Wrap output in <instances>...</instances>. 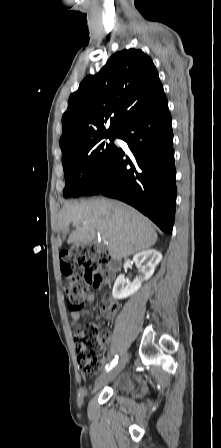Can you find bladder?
I'll use <instances>...</instances> for the list:
<instances>
[{"instance_id": "31cf9c89", "label": "bladder", "mask_w": 221, "mask_h": 448, "mask_svg": "<svg viewBox=\"0 0 221 448\" xmlns=\"http://www.w3.org/2000/svg\"><path fill=\"white\" fill-rule=\"evenodd\" d=\"M108 381H110L111 383L110 388L115 394L127 395L131 394L136 389V382L131 374H123L121 376H116L112 379L105 381L104 383Z\"/></svg>"}]
</instances>
